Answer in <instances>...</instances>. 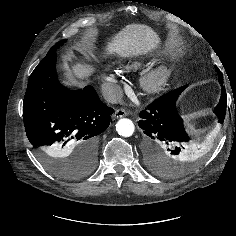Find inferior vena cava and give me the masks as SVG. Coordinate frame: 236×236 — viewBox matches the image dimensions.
Segmentation results:
<instances>
[{"label": "inferior vena cava", "instance_id": "1", "mask_svg": "<svg viewBox=\"0 0 236 236\" xmlns=\"http://www.w3.org/2000/svg\"><path fill=\"white\" fill-rule=\"evenodd\" d=\"M103 96L108 103L116 104L121 101L123 91L119 85H113L103 92Z\"/></svg>", "mask_w": 236, "mask_h": 236}]
</instances>
